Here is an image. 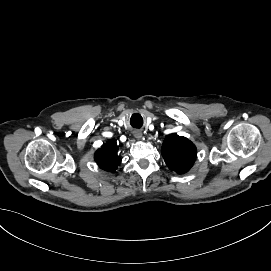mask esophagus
Wrapping results in <instances>:
<instances>
[{"instance_id":"esophagus-1","label":"esophagus","mask_w":271,"mask_h":271,"mask_svg":"<svg viewBox=\"0 0 271 271\" xmlns=\"http://www.w3.org/2000/svg\"><path fill=\"white\" fill-rule=\"evenodd\" d=\"M134 137L137 138L138 140H140L142 138V133H134Z\"/></svg>"}]
</instances>
